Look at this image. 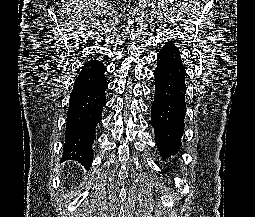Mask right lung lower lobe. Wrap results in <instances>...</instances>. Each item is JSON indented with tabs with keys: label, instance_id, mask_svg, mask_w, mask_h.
<instances>
[{
	"label": "right lung lower lobe",
	"instance_id": "obj_1",
	"mask_svg": "<svg viewBox=\"0 0 255 217\" xmlns=\"http://www.w3.org/2000/svg\"><path fill=\"white\" fill-rule=\"evenodd\" d=\"M105 71L103 63L97 59L89 60L82 66L70 94L64 159L76 160L86 168L93 161L95 128L101 121L102 108L106 104L108 83L104 77Z\"/></svg>",
	"mask_w": 255,
	"mask_h": 217
}]
</instances>
